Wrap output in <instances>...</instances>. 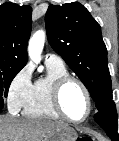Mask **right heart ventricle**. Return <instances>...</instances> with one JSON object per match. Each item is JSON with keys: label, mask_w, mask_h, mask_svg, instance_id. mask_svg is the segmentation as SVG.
<instances>
[{"label": "right heart ventricle", "mask_w": 119, "mask_h": 141, "mask_svg": "<svg viewBox=\"0 0 119 141\" xmlns=\"http://www.w3.org/2000/svg\"><path fill=\"white\" fill-rule=\"evenodd\" d=\"M47 75L32 84L30 95L25 103L23 114L27 117L59 119L51 100L54 82L69 72L64 64L46 62Z\"/></svg>", "instance_id": "1"}]
</instances>
